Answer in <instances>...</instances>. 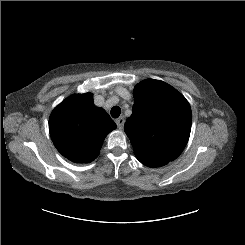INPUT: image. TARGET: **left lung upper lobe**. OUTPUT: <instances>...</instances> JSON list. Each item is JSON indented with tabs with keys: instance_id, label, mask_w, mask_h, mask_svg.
I'll use <instances>...</instances> for the list:
<instances>
[{
	"instance_id": "5c2ea615",
	"label": "left lung upper lobe",
	"mask_w": 245,
	"mask_h": 245,
	"mask_svg": "<svg viewBox=\"0 0 245 245\" xmlns=\"http://www.w3.org/2000/svg\"><path fill=\"white\" fill-rule=\"evenodd\" d=\"M134 101L124 130L136 158L148 167L176 159L191 131L192 113L186 98L163 81L146 79L136 85Z\"/></svg>"
}]
</instances>
